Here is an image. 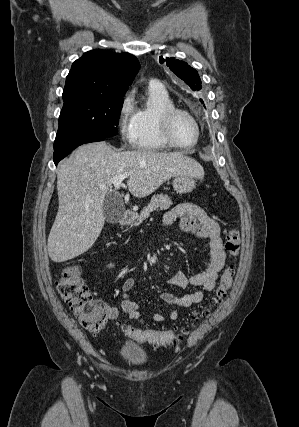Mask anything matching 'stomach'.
Here are the masks:
<instances>
[{"instance_id": "stomach-1", "label": "stomach", "mask_w": 299, "mask_h": 427, "mask_svg": "<svg viewBox=\"0 0 299 427\" xmlns=\"http://www.w3.org/2000/svg\"><path fill=\"white\" fill-rule=\"evenodd\" d=\"M196 177L191 175H176L173 179V188L179 194H187L192 192L196 187Z\"/></svg>"}]
</instances>
